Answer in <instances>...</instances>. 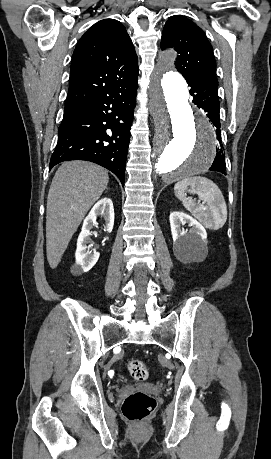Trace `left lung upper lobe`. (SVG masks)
Segmentation results:
<instances>
[{
  "mask_svg": "<svg viewBox=\"0 0 271 459\" xmlns=\"http://www.w3.org/2000/svg\"><path fill=\"white\" fill-rule=\"evenodd\" d=\"M161 48L177 51L175 66L186 81L211 79L218 84L213 48L202 29L188 18L175 15L167 20Z\"/></svg>",
  "mask_w": 271,
  "mask_h": 459,
  "instance_id": "obj_1",
  "label": "left lung upper lobe"
}]
</instances>
